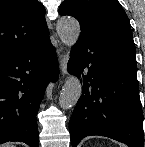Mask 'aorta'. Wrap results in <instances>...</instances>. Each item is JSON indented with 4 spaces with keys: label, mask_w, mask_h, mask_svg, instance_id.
Segmentation results:
<instances>
[{
    "label": "aorta",
    "mask_w": 145,
    "mask_h": 147,
    "mask_svg": "<svg viewBox=\"0 0 145 147\" xmlns=\"http://www.w3.org/2000/svg\"><path fill=\"white\" fill-rule=\"evenodd\" d=\"M79 22L73 17H62L57 22V32L62 43L72 48L80 36ZM82 94L80 80L71 76L65 82L59 97V105L62 109H70L76 105Z\"/></svg>",
    "instance_id": "aorta-1"
}]
</instances>
